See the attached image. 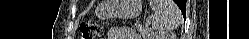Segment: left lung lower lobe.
<instances>
[{
	"instance_id": "1",
	"label": "left lung lower lobe",
	"mask_w": 249,
	"mask_h": 39,
	"mask_svg": "<svg viewBox=\"0 0 249 39\" xmlns=\"http://www.w3.org/2000/svg\"><path fill=\"white\" fill-rule=\"evenodd\" d=\"M175 2L178 4V6H179V3H182V7H179V8L181 9L182 13H184L186 1L185 0H175Z\"/></svg>"
}]
</instances>
